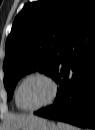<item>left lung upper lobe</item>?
Masks as SVG:
<instances>
[{
	"mask_svg": "<svg viewBox=\"0 0 95 130\" xmlns=\"http://www.w3.org/2000/svg\"><path fill=\"white\" fill-rule=\"evenodd\" d=\"M95 13V0H37L17 15L6 41L4 86L11 99L17 81L39 70L53 76L78 26Z\"/></svg>",
	"mask_w": 95,
	"mask_h": 130,
	"instance_id": "left-lung-upper-lobe-1",
	"label": "left lung upper lobe"
}]
</instances>
